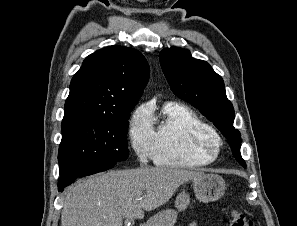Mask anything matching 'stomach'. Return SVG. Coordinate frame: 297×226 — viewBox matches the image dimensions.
<instances>
[{
    "label": "stomach",
    "mask_w": 297,
    "mask_h": 226,
    "mask_svg": "<svg viewBox=\"0 0 297 226\" xmlns=\"http://www.w3.org/2000/svg\"><path fill=\"white\" fill-rule=\"evenodd\" d=\"M195 197L200 202H212L220 199L225 192L224 179L215 174H206L192 182ZM190 203L189 195L180 193L175 201L177 210L166 209L152 216L145 226H174L179 211H184Z\"/></svg>",
    "instance_id": "obj_1"
}]
</instances>
